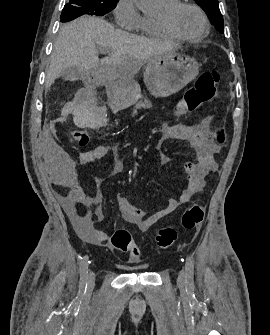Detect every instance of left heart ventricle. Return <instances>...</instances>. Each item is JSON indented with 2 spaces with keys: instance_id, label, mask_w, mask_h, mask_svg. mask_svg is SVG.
Returning <instances> with one entry per match:
<instances>
[{
  "instance_id": "left-heart-ventricle-1",
  "label": "left heart ventricle",
  "mask_w": 270,
  "mask_h": 335,
  "mask_svg": "<svg viewBox=\"0 0 270 335\" xmlns=\"http://www.w3.org/2000/svg\"><path fill=\"white\" fill-rule=\"evenodd\" d=\"M175 26L185 35H197L203 32L204 26L198 12L191 6H182L175 16Z\"/></svg>"
}]
</instances>
